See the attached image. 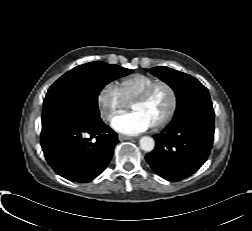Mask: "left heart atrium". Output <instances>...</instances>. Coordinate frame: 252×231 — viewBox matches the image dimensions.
I'll use <instances>...</instances> for the list:
<instances>
[{
  "label": "left heart atrium",
  "instance_id": "1",
  "mask_svg": "<svg viewBox=\"0 0 252 231\" xmlns=\"http://www.w3.org/2000/svg\"><path fill=\"white\" fill-rule=\"evenodd\" d=\"M111 126L119 133L137 135L148 130L152 124L142 113L133 111L114 117Z\"/></svg>",
  "mask_w": 252,
  "mask_h": 231
}]
</instances>
